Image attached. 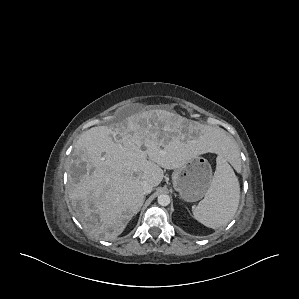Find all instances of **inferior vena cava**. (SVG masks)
Returning <instances> with one entry per match:
<instances>
[{"label": "inferior vena cava", "mask_w": 299, "mask_h": 299, "mask_svg": "<svg viewBox=\"0 0 299 299\" xmlns=\"http://www.w3.org/2000/svg\"><path fill=\"white\" fill-rule=\"evenodd\" d=\"M141 188L144 194H149L152 192L153 186L148 181H142Z\"/></svg>", "instance_id": "obj_1"}]
</instances>
